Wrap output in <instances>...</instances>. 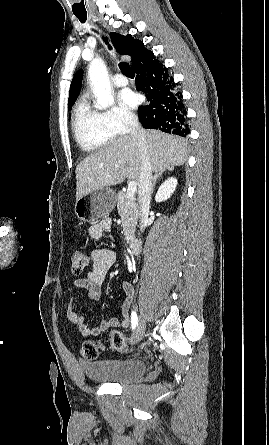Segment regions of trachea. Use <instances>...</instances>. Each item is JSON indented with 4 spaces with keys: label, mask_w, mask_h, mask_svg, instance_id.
I'll return each instance as SVG.
<instances>
[{
    "label": "trachea",
    "mask_w": 269,
    "mask_h": 445,
    "mask_svg": "<svg viewBox=\"0 0 269 445\" xmlns=\"http://www.w3.org/2000/svg\"><path fill=\"white\" fill-rule=\"evenodd\" d=\"M76 17L79 19V21L81 23H85L87 16H83V15H76ZM105 41H107L106 39H104ZM119 68L121 70V72L127 76V77H133L134 76V72L132 71L131 67L129 66L128 63L126 62H120L119 63Z\"/></svg>",
    "instance_id": "trachea-1"
}]
</instances>
